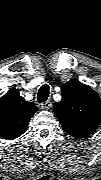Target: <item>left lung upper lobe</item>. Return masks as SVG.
<instances>
[{
	"instance_id": "5c2ea615",
	"label": "left lung upper lobe",
	"mask_w": 101,
	"mask_h": 180,
	"mask_svg": "<svg viewBox=\"0 0 101 180\" xmlns=\"http://www.w3.org/2000/svg\"><path fill=\"white\" fill-rule=\"evenodd\" d=\"M53 108L63 130L73 137L84 138L99 126L100 97L91 87L76 79L62 85V100Z\"/></svg>"
}]
</instances>
